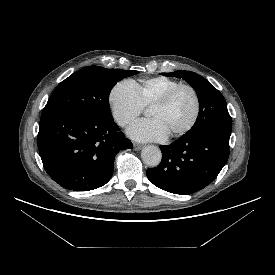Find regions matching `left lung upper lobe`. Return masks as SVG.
<instances>
[{
  "instance_id": "left-lung-upper-lobe-1",
  "label": "left lung upper lobe",
  "mask_w": 275,
  "mask_h": 275,
  "mask_svg": "<svg viewBox=\"0 0 275 275\" xmlns=\"http://www.w3.org/2000/svg\"><path fill=\"white\" fill-rule=\"evenodd\" d=\"M169 77H182L196 91L199 99V116L195 125L186 133L229 132L231 133V117L223 95L204 77L191 71L162 73Z\"/></svg>"
}]
</instances>
